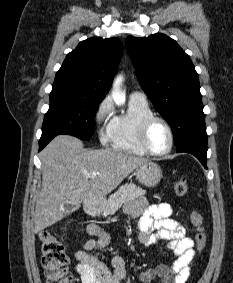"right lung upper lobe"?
<instances>
[{"label":"right lung upper lobe","instance_id":"1","mask_svg":"<svg viewBox=\"0 0 233 283\" xmlns=\"http://www.w3.org/2000/svg\"><path fill=\"white\" fill-rule=\"evenodd\" d=\"M122 54V42L116 38H89L67 54L57 71L53 88L99 100L108 93Z\"/></svg>","mask_w":233,"mask_h":283}]
</instances>
